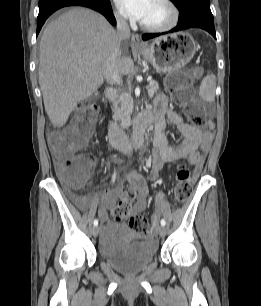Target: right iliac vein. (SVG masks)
I'll return each instance as SVG.
<instances>
[{"label":"right iliac vein","mask_w":261,"mask_h":306,"mask_svg":"<svg viewBox=\"0 0 261 306\" xmlns=\"http://www.w3.org/2000/svg\"><path fill=\"white\" fill-rule=\"evenodd\" d=\"M99 230H100V228H99L98 226H94V227L92 228V235H93L94 237H97L98 234H99Z\"/></svg>","instance_id":"obj_1"}]
</instances>
